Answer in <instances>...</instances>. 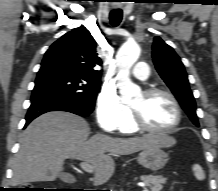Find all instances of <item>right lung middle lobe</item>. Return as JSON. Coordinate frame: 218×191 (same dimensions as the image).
Masks as SVG:
<instances>
[{
  "label": "right lung middle lobe",
  "instance_id": "obj_1",
  "mask_svg": "<svg viewBox=\"0 0 218 191\" xmlns=\"http://www.w3.org/2000/svg\"><path fill=\"white\" fill-rule=\"evenodd\" d=\"M99 84V81L60 62L43 60L32 96L41 92H52L94 106Z\"/></svg>",
  "mask_w": 218,
  "mask_h": 191
}]
</instances>
